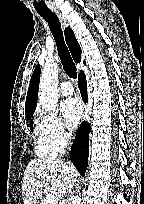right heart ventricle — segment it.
<instances>
[{
  "label": "right heart ventricle",
  "mask_w": 144,
  "mask_h": 204,
  "mask_svg": "<svg viewBox=\"0 0 144 204\" xmlns=\"http://www.w3.org/2000/svg\"><path fill=\"white\" fill-rule=\"evenodd\" d=\"M36 133H37V140L35 145V151L37 155L41 158L52 159L58 155L54 148H52L42 137L40 127L38 122L36 121Z\"/></svg>",
  "instance_id": "e07e8e85"
}]
</instances>
